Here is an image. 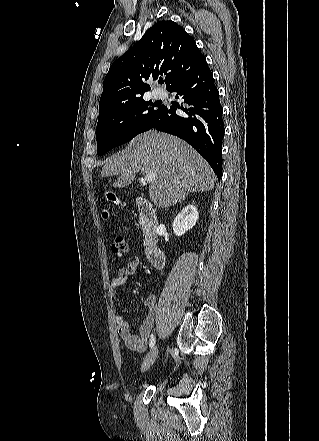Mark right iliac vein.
I'll return each instance as SVG.
<instances>
[{
    "instance_id": "1",
    "label": "right iliac vein",
    "mask_w": 319,
    "mask_h": 441,
    "mask_svg": "<svg viewBox=\"0 0 319 441\" xmlns=\"http://www.w3.org/2000/svg\"><path fill=\"white\" fill-rule=\"evenodd\" d=\"M158 355V348L155 346L145 357L143 364L141 366V371H147L155 362L156 357Z\"/></svg>"
}]
</instances>
